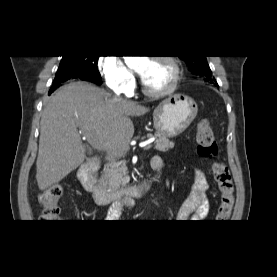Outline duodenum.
<instances>
[{
  "mask_svg": "<svg viewBox=\"0 0 277 277\" xmlns=\"http://www.w3.org/2000/svg\"><path fill=\"white\" fill-rule=\"evenodd\" d=\"M97 159H90L81 165L78 170V177L86 191L94 195L97 205L103 206L111 201H116L126 207L131 206L134 198H139L146 194L151 188L152 183L147 180H141L133 185L119 190L118 192H109L95 176L98 167Z\"/></svg>",
  "mask_w": 277,
  "mask_h": 277,
  "instance_id": "410a0bca",
  "label": "duodenum"
}]
</instances>
